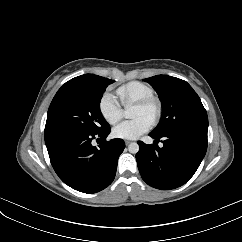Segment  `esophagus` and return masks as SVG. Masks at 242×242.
<instances>
[{
	"mask_svg": "<svg viewBox=\"0 0 242 242\" xmlns=\"http://www.w3.org/2000/svg\"><path fill=\"white\" fill-rule=\"evenodd\" d=\"M126 145H128L130 143V141H125Z\"/></svg>",
	"mask_w": 242,
	"mask_h": 242,
	"instance_id": "obj_1",
	"label": "esophagus"
}]
</instances>
